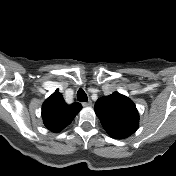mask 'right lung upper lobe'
I'll list each match as a JSON object with an SVG mask.
<instances>
[{"label": "right lung upper lobe", "instance_id": "right-lung-upper-lobe-1", "mask_svg": "<svg viewBox=\"0 0 176 176\" xmlns=\"http://www.w3.org/2000/svg\"><path fill=\"white\" fill-rule=\"evenodd\" d=\"M81 109L80 103L66 104L62 94L56 90L42 105L44 125L52 132H60L72 122Z\"/></svg>", "mask_w": 176, "mask_h": 176}]
</instances>
